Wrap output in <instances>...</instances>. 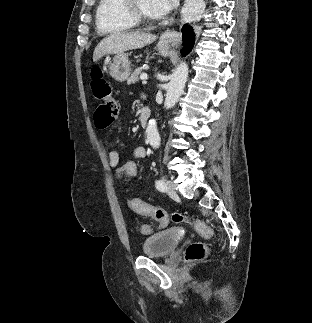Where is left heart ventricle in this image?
Returning a JSON list of instances; mask_svg holds the SVG:
<instances>
[{
  "label": "left heart ventricle",
  "mask_w": 312,
  "mask_h": 323,
  "mask_svg": "<svg viewBox=\"0 0 312 323\" xmlns=\"http://www.w3.org/2000/svg\"><path fill=\"white\" fill-rule=\"evenodd\" d=\"M138 13L139 14H150L151 13V8L150 7H139L138 8Z\"/></svg>",
  "instance_id": "1"
}]
</instances>
